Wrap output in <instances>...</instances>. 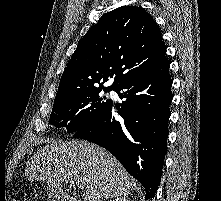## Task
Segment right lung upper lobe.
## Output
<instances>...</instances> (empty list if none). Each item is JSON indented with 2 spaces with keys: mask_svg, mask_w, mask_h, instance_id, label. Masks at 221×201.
<instances>
[{
  "mask_svg": "<svg viewBox=\"0 0 221 201\" xmlns=\"http://www.w3.org/2000/svg\"><path fill=\"white\" fill-rule=\"evenodd\" d=\"M165 52L160 29L143 8H117L103 15L79 41L56 98L94 88L114 90L160 66L167 60ZM114 75L113 84L104 87Z\"/></svg>",
  "mask_w": 221,
  "mask_h": 201,
  "instance_id": "cb5924a9",
  "label": "right lung upper lobe"
}]
</instances>
